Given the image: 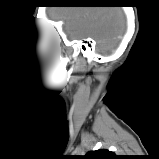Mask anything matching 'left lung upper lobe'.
Masks as SVG:
<instances>
[{
  "mask_svg": "<svg viewBox=\"0 0 159 159\" xmlns=\"http://www.w3.org/2000/svg\"><path fill=\"white\" fill-rule=\"evenodd\" d=\"M80 159H120L115 153L100 149L96 151H90L85 156L80 157Z\"/></svg>",
  "mask_w": 159,
  "mask_h": 159,
  "instance_id": "left-lung-upper-lobe-1",
  "label": "left lung upper lobe"
}]
</instances>
